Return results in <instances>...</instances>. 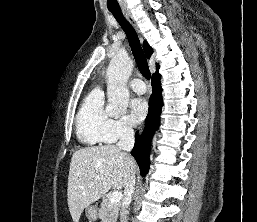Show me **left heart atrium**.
I'll use <instances>...</instances> for the list:
<instances>
[{"instance_id":"39dd6f15","label":"left heart atrium","mask_w":257,"mask_h":222,"mask_svg":"<svg viewBox=\"0 0 257 222\" xmlns=\"http://www.w3.org/2000/svg\"><path fill=\"white\" fill-rule=\"evenodd\" d=\"M132 121L137 124L140 123L148 113V105L145 99L135 98L130 104Z\"/></svg>"}]
</instances>
